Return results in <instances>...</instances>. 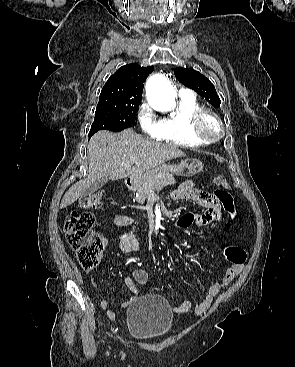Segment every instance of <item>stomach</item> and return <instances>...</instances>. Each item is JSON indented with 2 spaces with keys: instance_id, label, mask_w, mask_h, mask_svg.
I'll list each match as a JSON object with an SVG mask.
<instances>
[{
  "instance_id": "stomach-1",
  "label": "stomach",
  "mask_w": 295,
  "mask_h": 367,
  "mask_svg": "<svg viewBox=\"0 0 295 367\" xmlns=\"http://www.w3.org/2000/svg\"><path fill=\"white\" fill-rule=\"evenodd\" d=\"M202 168L203 164L201 161L197 159H187L178 165L165 164L154 168L138 177L132 178L131 182L135 188H139L161 174L171 173L177 176L191 177L199 173Z\"/></svg>"
}]
</instances>
